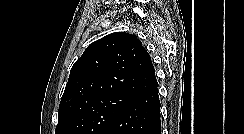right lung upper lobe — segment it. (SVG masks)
Instances as JSON below:
<instances>
[{"mask_svg": "<svg viewBox=\"0 0 244 134\" xmlns=\"http://www.w3.org/2000/svg\"><path fill=\"white\" fill-rule=\"evenodd\" d=\"M158 86L150 55L141 41L125 32L89 45L71 68L59 105V119L101 98L132 99Z\"/></svg>", "mask_w": 244, "mask_h": 134, "instance_id": "cb5924a9", "label": "right lung upper lobe"}]
</instances>
